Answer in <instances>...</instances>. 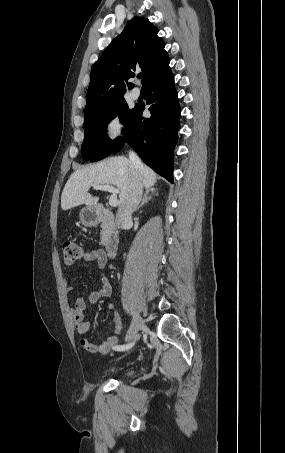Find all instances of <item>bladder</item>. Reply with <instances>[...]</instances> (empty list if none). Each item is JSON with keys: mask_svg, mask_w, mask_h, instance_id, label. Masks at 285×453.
I'll list each match as a JSON object with an SVG mask.
<instances>
[{"mask_svg": "<svg viewBox=\"0 0 285 453\" xmlns=\"http://www.w3.org/2000/svg\"><path fill=\"white\" fill-rule=\"evenodd\" d=\"M132 374H133V370H131V369H127L124 371V375L130 376Z\"/></svg>", "mask_w": 285, "mask_h": 453, "instance_id": "bladder-1", "label": "bladder"}]
</instances>
